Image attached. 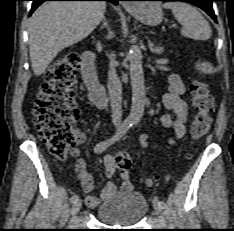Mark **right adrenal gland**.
Returning <instances> with one entry per match:
<instances>
[{
    "label": "right adrenal gland",
    "mask_w": 234,
    "mask_h": 231,
    "mask_svg": "<svg viewBox=\"0 0 234 231\" xmlns=\"http://www.w3.org/2000/svg\"><path fill=\"white\" fill-rule=\"evenodd\" d=\"M104 28H106L108 30L107 38L111 37L113 35V31L110 29L105 17L103 18V24L100 27V29L103 30Z\"/></svg>",
    "instance_id": "obj_1"
}]
</instances>
